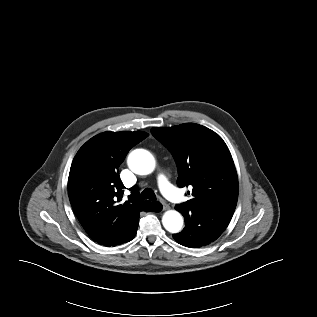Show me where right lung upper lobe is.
Listing matches in <instances>:
<instances>
[{
    "label": "right lung upper lobe",
    "instance_id": "1",
    "mask_svg": "<svg viewBox=\"0 0 317 317\" xmlns=\"http://www.w3.org/2000/svg\"><path fill=\"white\" fill-rule=\"evenodd\" d=\"M147 136L141 131L100 133L73 159L68 178L72 208L85 231L104 235L109 246L119 244L133 219L152 203L138 200L136 194L124 202L125 186L117 173L128 151Z\"/></svg>",
    "mask_w": 317,
    "mask_h": 317
}]
</instances>
